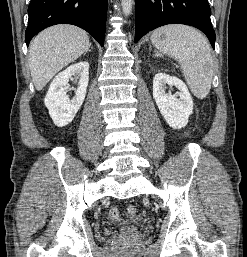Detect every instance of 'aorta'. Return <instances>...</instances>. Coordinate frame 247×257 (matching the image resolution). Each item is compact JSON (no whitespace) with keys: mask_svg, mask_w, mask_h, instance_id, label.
<instances>
[{"mask_svg":"<svg viewBox=\"0 0 247 257\" xmlns=\"http://www.w3.org/2000/svg\"><path fill=\"white\" fill-rule=\"evenodd\" d=\"M134 0H121L122 11L125 16H129L132 12Z\"/></svg>","mask_w":247,"mask_h":257,"instance_id":"762f6f07","label":"aorta"}]
</instances>
